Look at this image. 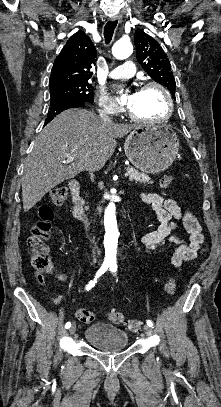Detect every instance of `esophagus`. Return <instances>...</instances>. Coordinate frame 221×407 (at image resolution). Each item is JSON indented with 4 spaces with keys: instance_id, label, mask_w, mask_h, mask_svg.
Here are the masks:
<instances>
[{
    "instance_id": "obj_1",
    "label": "esophagus",
    "mask_w": 221,
    "mask_h": 407,
    "mask_svg": "<svg viewBox=\"0 0 221 407\" xmlns=\"http://www.w3.org/2000/svg\"><path fill=\"white\" fill-rule=\"evenodd\" d=\"M112 20L113 21L117 20L120 23V22H122V16L121 15H114L112 17Z\"/></svg>"
}]
</instances>
